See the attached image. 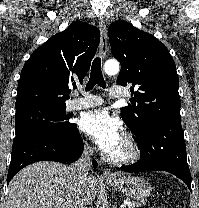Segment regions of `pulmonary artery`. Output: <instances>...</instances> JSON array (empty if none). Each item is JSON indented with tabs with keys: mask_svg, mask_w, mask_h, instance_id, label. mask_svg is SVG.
<instances>
[{
	"mask_svg": "<svg viewBox=\"0 0 199 208\" xmlns=\"http://www.w3.org/2000/svg\"><path fill=\"white\" fill-rule=\"evenodd\" d=\"M126 90L123 88L113 87L109 93L111 98H121L126 95ZM104 102L100 96L82 92L79 97L73 98L69 104L68 109L71 111L97 107Z\"/></svg>",
	"mask_w": 199,
	"mask_h": 208,
	"instance_id": "obj_1",
	"label": "pulmonary artery"
}]
</instances>
